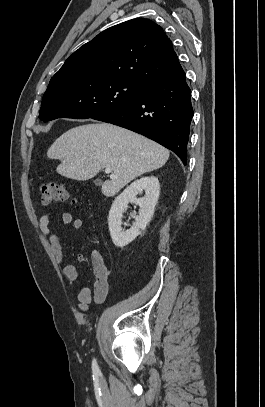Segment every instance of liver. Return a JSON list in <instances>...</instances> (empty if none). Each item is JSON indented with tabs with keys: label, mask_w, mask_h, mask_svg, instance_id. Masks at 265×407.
Returning a JSON list of instances; mask_svg holds the SVG:
<instances>
[{
	"label": "liver",
	"mask_w": 265,
	"mask_h": 407,
	"mask_svg": "<svg viewBox=\"0 0 265 407\" xmlns=\"http://www.w3.org/2000/svg\"><path fill=\"white\" fill-rule=\"evenodd\" d=\"M169 155L155 141L109 123L71 128L47 151L48 158L61 161L57 173L69 179L86 181L103 168H111L115 177L111 175L102 185L107 197L114 196L136 177L165 165Z\"/></svg>",
	"instance_id": "1"
}]
</instances>
